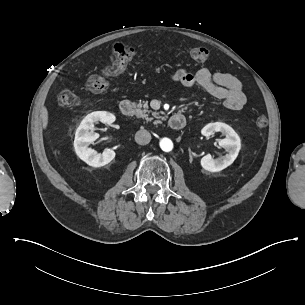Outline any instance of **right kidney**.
<instances>
[{
    "label": "right kidney",
    "instance_id": "obj_1",
    "mask_svg": "<svg viewBox=\"0 0 305 305\" xmlns=\"http://www.w3.org/2000/svg\"><path fill=\"white\" fill-rule=\"evenodd\" d=\"M97 121L110 125L115 121V116L105 111L87 115L78 127L74 141L77 156L93 167L104 166L115 158V152L111 149H105L103 153H97L95 150L88 148V145L98 137L97 134L93 133V123Z\"/></svg>",
    "mask_w": 305,
    "mask_h": 305
}]
</instances>
